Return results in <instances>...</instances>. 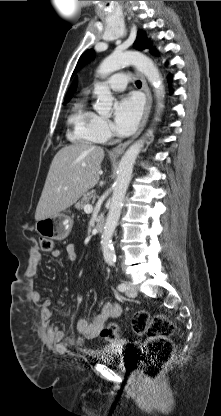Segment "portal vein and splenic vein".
I'll return each instance as SVG.
<instances>
[{"instance_id":"portal-vein-and-splenic-vein-1","label":"portal vein and splenic vein","mask_w":221,"mask_h":416,"mask_svg":"<svg viewBox=\"0 0 221 416\" xmlns=\"http://www.w3.org/2000/svg\"><path fill=\"white\" fill-rule=\"evenodd\" d=\"M92 210H93L92 205H90V204H86V205L84 206V211H85L86 213H90V212H92Z\"/></svg>"}]
</instances>
